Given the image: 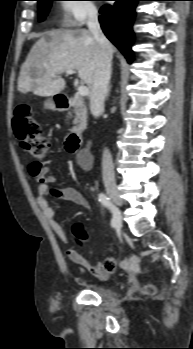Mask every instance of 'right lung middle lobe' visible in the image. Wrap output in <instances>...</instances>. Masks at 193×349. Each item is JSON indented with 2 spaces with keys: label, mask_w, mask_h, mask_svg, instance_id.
Masks as SVG:
<instances>
[{
  "label": "right lung middle lobe",
  "mask_w": 193,
  "mask_h": 349,
  "mask_svg": "<svg viewBox=\"0 0 193 349\" xmlns=\"http://www.w3.org/2000/svg\"><path fill=\"white\" fill-rule=\"evenodd\" d=\"M37 1H38V11H39L38 17L40 21H43L50 10L52 1L54 0H37Z\"/></svg>",
  "instance_id": "right-lung-middle-lobe-1"
}]
</instances>
